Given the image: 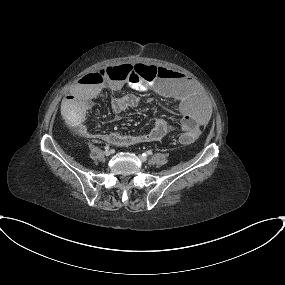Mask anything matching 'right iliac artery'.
I'll return each mask as SVG.
<instances>
[{"label":"right iliac artery","mask_w":285,"mask_h":285,"mask_svg":"<svg viewBox=\"0 0 285 285\" xmlns=\"http://www.w3.org/2000/svg\"><path fill=\"white\" fill-rule=\"evenodd\" d=\"M104 148H105V150H108V149H109V146H108V145H106Z\"/></svg>","instance_id":"1"}]
</instances>
